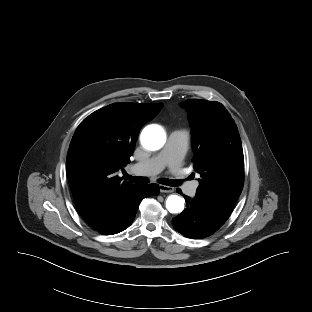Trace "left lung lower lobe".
Segmentation results:
<instances>
[{
  "instance_id": "0a47b994",
  "label": "left lung lower lobe",
  "mask_w": 312,
  "mask_h": 312,
  "mask_svg": "<svg viewBox=\"0 0 312 312\" xmlns=\"http://www.w3.org/2000/svg\"><path fill=\"white\" fill-rule=\"evenodd\" d=\"M180 192V191H179ZM187 208L172 219L176 231L191 239H200L212 235L228 219L230 212L197 196L190 199L183 195Z\"/></svg>"
}]
</instances>
